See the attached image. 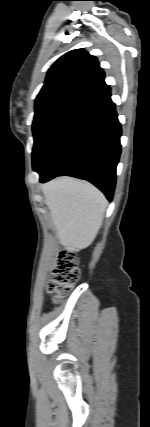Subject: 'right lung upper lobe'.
Instances as JSON below:
<instances>
[{
  "label": "right lung upper lobe",
  "mask_w": 150,
  "mask_h": 427,
  "mask_svg": "<svg viewBox=\"0 0 150 427\" xmlns=\"http://www.w3.org/2000/svg\"><path fill=\"white\" fill-rule=\"evenodd\" d=\"M109 91L96 57L83 49L72 50L49 69L35 111L54 106L82 109Z\"/></svg>",
  "instance_id": "obj_1"
}]
</instances>
